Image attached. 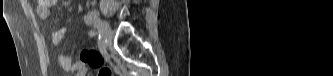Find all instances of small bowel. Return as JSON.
I'll use <instances>...</instances> for the list:
<instances>
[{
	"mask_svg": "<svg viewBox=\"0 0 333 76\" xmlns=\"http://www.w3.org/2000/svg\"><path fill=\"white\" fill-rule=\"evenodd\" d=\"M56 3V0L37 1L36 12L38 16L41 18H48L51 14L53 6ZM84 19L86 24H92L89 17L85 16ZM68 24L69 22L67 20L61 22L52 33V45L58 51V61L60 66L67 71H76L78 76H85L88 67L98 69V72L106 69L101 67L104 62V57L97 51H92L90 47H81V59L78 61H74L71 55H64L60 53L61 45L66 39ZM88 35L93 37L95 32L93 30H89Z\"/></svg>",
	"mask_w": 333,
	"mask_h": 76,
	"instance_id": "small-bowel-1",
	"label": "small bowel"
}]
</instances>
